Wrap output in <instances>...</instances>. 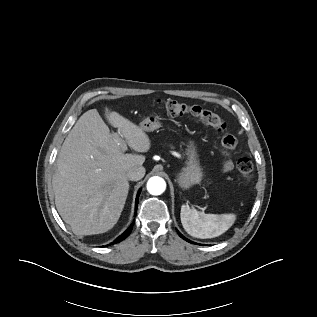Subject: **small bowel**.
<instances>
[{"label":"small bowel","instance_id":"c3829d8e","mask_svg":"<svg viewBox=\"0 0 317 317\" xmlns=\"http://www.w3.org/2000/svg\"><path fill=\"white\" fill-rule=\"evenodd\" d=\"M223 171L227 172L232 169V162L230 160H226L222 165Z\"/></svg>","mask_w":317,"mask_h":317}]
</instances>
